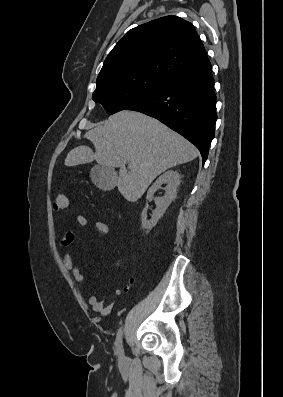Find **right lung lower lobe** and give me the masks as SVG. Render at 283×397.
Wrapping results in <instances>:
<instances>
[{
    "label": "right lung lower lobe",
    "mask_w": 283,
    "mask_h": 397,
    "mask_svg": "<svg viewBox=\"0 0 283 397\" xmlns=\"http://www.w3.org/2000/svg\"><path fill=\"white\" fill-rule=\"evenodd\" d=\"M214 83L211 64L185 71L126 110L154 117L181 134L205 163L217 120Z\"/></svg>",
    "instance_id": "obj_1"
}]
</instances>
